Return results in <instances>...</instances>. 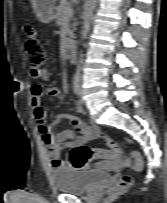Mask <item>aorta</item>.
I'll use <instances>...</instances> for the list:
<instances>
[{
    "label": "aorta",
    "mask_w": 167,
    "mask_h": 203,
    "mask_svg": "<svg viewBox=\"0 0 167 203\" xmlns=\"http://www.w3.org/2000/svg\"><path fill=\"white\" fill-rule=\"evenodd\" d=\"M97 0H86V3L84 5V16H83V26L81 31L82 39H86L90 26L93 20V13L96 8Z\"/></svg>",
    "instance_id": "aorta-1"
}]
</instances>
